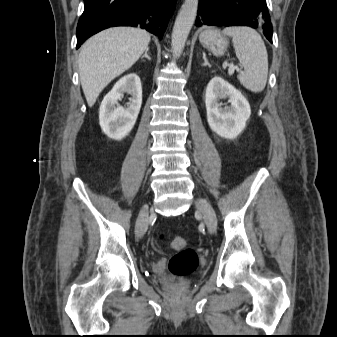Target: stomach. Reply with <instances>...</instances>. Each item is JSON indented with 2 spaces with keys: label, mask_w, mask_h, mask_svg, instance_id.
<instances>
[{
  "label": "stomach",
  "mask_w": 337,
  "mask_h": 337,
  "mask_svg": "<svg viewBox=\"0 0 337 337\" xmlns=\"http://www.w3.org/2000/svg\"><path fill=\"white\" fill-rule=\"evenodd\" d=\"M199 40L202 46L212 52L215 56L224 55L229 41L217 29H206L199 35Z\"/></svg>",
  "instance_id": "0dacf381"
}]
</instances>
